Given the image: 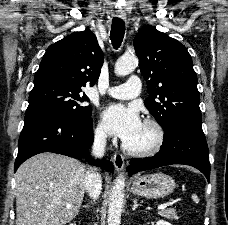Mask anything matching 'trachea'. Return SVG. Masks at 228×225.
<instances>
[{
	"instance_id": "obj_1",
	"label": "trachea",
	"mask_w": 228,
	"mask_h": 225,
	"mask_svg": "<svg viewBox=\"0 0 228 225\" xmlns=\"http://www.w3.org/2000/svg\"><path fill=\"white\" fill-rule=\"evenodd\" d=\"M125 34V23L121 18L114 17L112 20L110 39L115 48L120 47Z\"/></svg>"
}]
</instances>
